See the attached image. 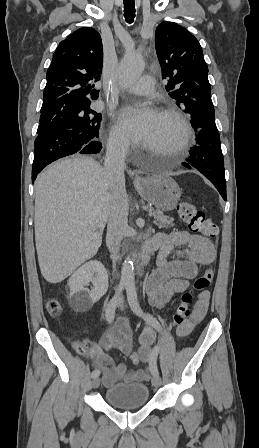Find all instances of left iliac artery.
<instances>
[{
	"label": "left iliac artery",
	"mask_w": 259,
	"mask_h": 448,
	"mask_svg": "<svg viewBox=\"0 0 259 448\" xmlns=\"http://www.w3.org/2000/svg\"><path fill=\"white\" fill-rule=\"evenodd\" d=\"M126 291H127V298H128V303L130 305L131 310L138 316L142 317L146 323L150 324L151 326H153L158 332L162 331L161 325L158 322V320L148 314H144L139 302H138V298H137V292H136V287L134 283H128L126 285ZM160 351V346L156 345L152 352H151V356L153 358V360L156 362L157 360V356L158 353ZM153 375H159V371L158 368L155 367V369L153 370Z\"/></svg>",
	"instance_id": "obj_1"
}]
</instances>
